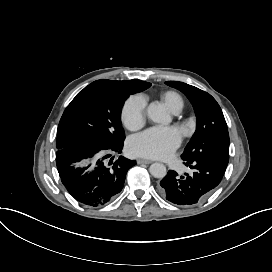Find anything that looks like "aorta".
<instances>
[{"label":"aorta","mask_w":272,"mask_h":272,"mask_svg":"<svg viewBox=\"0 0 272 272\" xmlns=\"http://www.w3.org/2000/svg\"><path fill=\"white\" fill-rule=\"evenodd\" d=\"M147 115L154 122L162 123L165 120L164 111L157 101H153L148 105ZM149 172L153 177L159 179H163L167 174L166 167L162 163L151 164L149 167Z\"/></svg>","instance_id":"1"}]
</instances>
